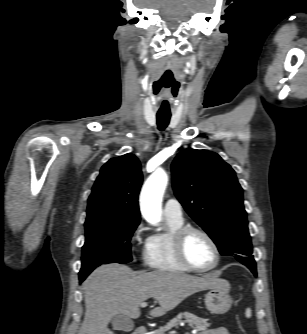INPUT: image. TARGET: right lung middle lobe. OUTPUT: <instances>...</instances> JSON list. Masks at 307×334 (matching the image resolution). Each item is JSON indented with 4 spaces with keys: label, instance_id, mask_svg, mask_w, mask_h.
<instances>
[{
    "label": "right lung middle lobe",
    "instance_id": "1",
    "mask_svg": "<svg viewBox=\"0 0 307 334\" xmlns=\"http://www.w3.org/2000/svg\"><path fill=\"white\" fill-rule=\"evenodd\" d=\"M138 224L104 219L86 221V239L82 248L79 277L85 279L97 266L104 263L130 262V239Z\"/></svg>",
    "mask_w": 307,
    "mask_h": 334
}]
</instances>
